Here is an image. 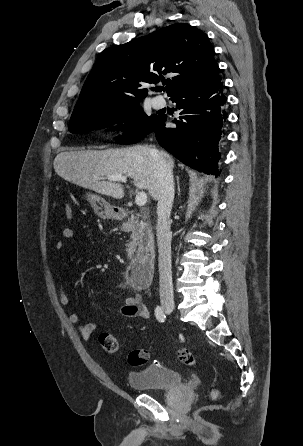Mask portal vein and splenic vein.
<instances>
[{"label": "portal vein and splenic vein", "mask_w": 303, "mask_h": 446, "mask_svg": "<svg viewBox=\"0 0 303 446\" xmlns=\"http://www.w3.org/2000/svg\"><path fill=\"white\" fill-rule=\"evenodd\" d=\"M106 179L109 181H121L123 183H126L127 177L123 175H110L107 176ZM135 203L137 206H144L147 203V194L144 191L138 192L135 198Z\"/></svg>", "instance_id": "portal-vein-and-splenic-vein-1"}]
</instances>
